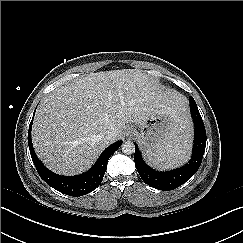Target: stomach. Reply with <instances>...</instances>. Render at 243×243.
Instances as JSON below:
<instances>
[{
	"label": "stomach",
	"instance_id": "stomach-1",
	"mask_svg": "<svg viewBox=\"0 0 243 243\" xmlns=\"http://www.w3.org/2000/svg\"><path fill=\"white\" fill-rule=\"evenodd\" d=\"M139 128L136 137L147 154L156 153L157 148L174 132V120L168 113L155 112Z\"/></svg>",
	"mask_w": 243,
	"mask_h": 243
}]
</instances>
